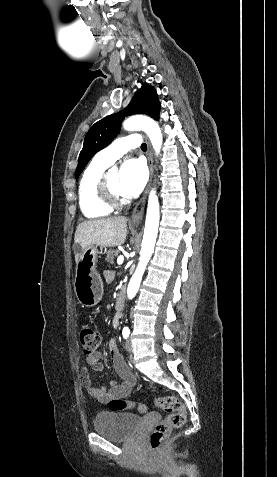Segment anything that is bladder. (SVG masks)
<instances>
[{"instance_id": "bladder-1", "label": "bladder", "mask_w": 277, "mask_h": 477, "mask_svg": "<svg viewBox=\"0 0 277 477\" xmlns=\"http://www.w3.org/2000/svg\"><path fill=\"white\" fill-rule=\"evenodd\" d=\"M141 418L133 413L122 411L102 412L94 419V430L110 440L125 441L138 431Z\"/></svg>"}]
</instances>
